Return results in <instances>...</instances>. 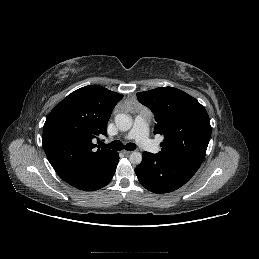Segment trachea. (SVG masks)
I'll list each match as a JSON object with an SVG mask.
<instances>
[{"instance_id":"3493384b","label":"trachea","mask_w":259,"mask_h":259,"mask_svg":"<svg viewBox=\"0 0 259 259\" xmlns=\"http://www.w3.org/2000/svg\"><path fill=\"white\" fill-rule=\"evenodd\" d=\"M102 147L110 148L113 150H128V151H134L136 149V145L134 143H127L126 145H123L121 141L115 140L111 142L110 144L106 145L104 143H101Z\"/></svg>"}]
</instances>
